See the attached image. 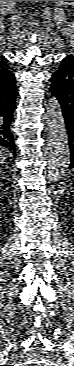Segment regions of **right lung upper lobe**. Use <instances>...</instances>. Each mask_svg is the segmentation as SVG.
I'll return each instance as SVG.
<instances>
[{
  "instance_id": "1",
  "label": "right lung upper lobe",
  "mask_w": 74,
  "mask_h": 366,
  "mask_svg": "<svg viewBox=\"0 0 74 366\" xmlns=\"http://www.w3.org/2000/svg\"><path fill=\"white\" fill-rule=\"evenodd\" d=\"M12 76V72L8 65V60L0 56V81H8Z\"/></svg>"
}]
</instances>
